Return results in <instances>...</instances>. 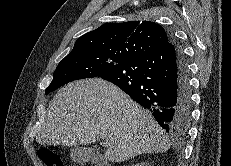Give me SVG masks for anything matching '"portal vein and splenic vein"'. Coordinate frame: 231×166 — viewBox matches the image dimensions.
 I'll list each match as a JSON object with an SVG mask.
<instances>
[{
  "label": "portal vein and splenic vein",
  "mask_w": 231,
  "mask_h": 166,
  "mask_svg": "<svg viewBox=\"0 0 231 166\" xmlns=\"http://www.w3.org/2000/svg\"><path fill=\"white\" fill-rule=\"evenodd\" d=\"M103 144L105 146H108L110 144L109 140L108 139H103Z\"/></svg>",
  "instance_id": "obj_1"
}]
</instances>
